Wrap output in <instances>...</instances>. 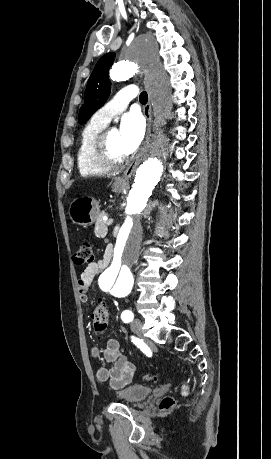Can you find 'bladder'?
<instances>
[{
    "label": "bladder",
    "mask_w": 271,
    "mask_h": 459,
    "mask_svg": "<svg viewBox=\"0 0 271 459\" xmlns=\"http://www.w3.org/2000/svg\"><path fill=\"white\" fill-rule=\"evenodd\" d=\"M150 394V386L132 385L130 388L124 389L118 395L121 397L123 403H134L142 401Z\"/></svg>",
    "instance_id": "31cf9c89"
}]
</instances>
